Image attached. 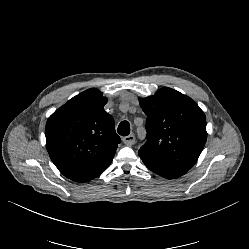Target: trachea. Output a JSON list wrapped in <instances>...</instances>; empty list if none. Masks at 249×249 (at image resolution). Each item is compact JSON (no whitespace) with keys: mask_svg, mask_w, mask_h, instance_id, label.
Wrapping results in <instances>:
<instances>
[{"mask_svg":"<svg viewBox=\"0 0 249 249\" xmlns=\"http://www.w3.org/2000/svg\"><path fill=\"white\" fill-rule=\"evenodd\" d=\"M117 132L122 136H127L130 134V124L128 121H122L117 129Z\"/></svg>","mask_w":249,"mask_h":249,"instance_id":"obj_1","label":"trachea"}]
</instances>
